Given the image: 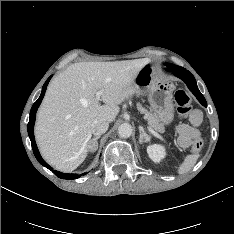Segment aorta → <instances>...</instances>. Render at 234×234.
Instances as JSON below:
<instances>
[{"mask_svg": "<svg viewBox=\"0 0 234 234\" xmlns=\"http://www.w3.org/2000/svg\"><path fill=\"white\" fill-rule=\"evenodd\" d=\"M118 134L122 138H128L132 135V126L129 123H122L118 127Z\"/></svg>", "mask_w": 234, "mask_h": 234, "instance_id": "aorta-1", "label": "aorta"}]
</instances>
